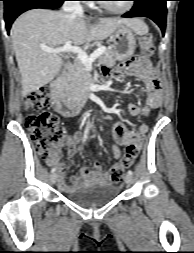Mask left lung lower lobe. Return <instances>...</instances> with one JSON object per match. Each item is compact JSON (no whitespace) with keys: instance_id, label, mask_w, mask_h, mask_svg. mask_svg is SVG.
Returning a JSON list of instances; mask_svg holds the SVG:
<instances>
[{"instance_id":"left-lung-lower-lobe-1","label":"left lung lower lobe","mask_w":194,"mask_h":253,"mask_svg":"<svg viewBox=\"0 0 194 253\" xmlns=\"http://www.w3.org/2000/svg\"><path fill=\"white\" fill-rule=\"evenodd\" d=\"M134 6L132 9L122 15V17H138L144 16L152 19L165 33L167 7L166 1L168 0H132Z\"/></svg>"}]
</instances>
